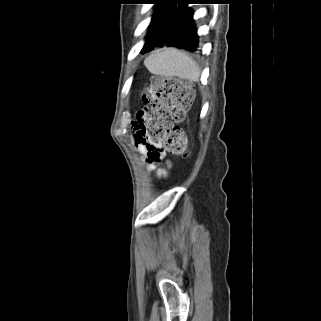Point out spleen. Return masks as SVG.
Returning a JSON list of instances; mask_svg holds the SVG:
<instances>
[{"mask_svg": "<svg viewBox=\"0 0 321 321\" xmlns=\"http://www.w3.org/2000/svg\"><path fill=\"white\" fill-rule=\"evenodd\" d=\"M144 65L154 75L163 77H180L197 82L200 69L197 63L186 53L175 48H162L153 51L145 60Z\"/></svg>", "mask_w": 321, "mask_h": 321, "instance_id": "obj_1", "label": "spleen"}]
</instances>
